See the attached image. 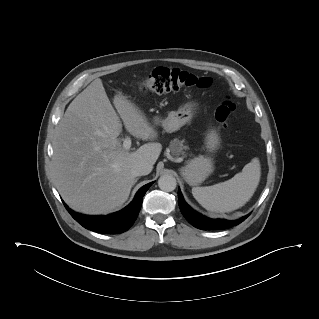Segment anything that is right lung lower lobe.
Wrapping results in <instances>:
<instances>
[{
    "label": "right lung lower lobe",
    "instance_id": "right-lung-lower-lobe-1",
    "mask_svg": "<svg viewBox=\"0 0 319 319\" xmlns=\"http://www.w3.org/2000/svg\"><path fill=\"white\" fill-rule=\"evenodd\" d=\"M151 185L152 182L140 188L133 201L124 209L107 216L82 215L63 203L71 216L84 228L102 234H119L127 231L133 225L140 211L142 198Z\"/></svg>",
    "mask_w": 319,
    "mask_h": 319
}]
</instances>
